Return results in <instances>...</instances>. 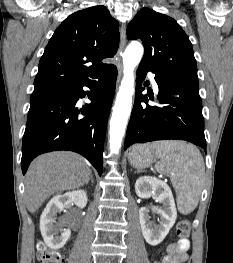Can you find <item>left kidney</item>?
I'll list each match as a JSON object with an SVG mask.
<instances>
[{
	"instance_id": "left-kidney-1",
	"label": "left kidney",
	"mask_w": 233,
	"mask_h": 263,
	"mask_svg": "<svg viewBox=\"0 0 233 263\" xmlns=\"http://www.w3.org/2000/svg\"><path fill=\"white\" fill-rule=\"evenodd\" d=\"M135 191L140 198L153 197L157 202L163 204L162 208L157 209L160 215L158 225L150 221L149 210L146 207L139 210L142 234L147 243L156 246L164 240L177 218L172 191L164 181L151 176L138 178L135 183Z\"/></svg>"
}]
</instances>
